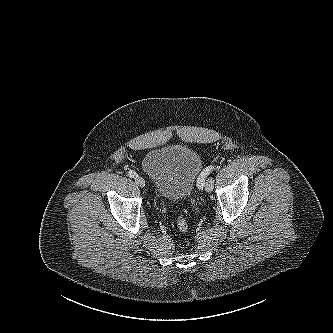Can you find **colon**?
I'll list each match as a JSON object with an SVG mask.
<instances>
[{"label": "colon", "mask_w": 333, "mask_h": 333, "mask_svg": "<svg viewBox=\"0 0 333 333\" xmlns=\"http://www.w3.org/2000/svg\"><path fill=\"white\" fill-rule=\"evenodd\" d=\"M177 227L181 232H187L189 229L188 221L184 216H179L176 221Z\"/></svg>", "instance_id": "5ec220e1"}]
</instances>
